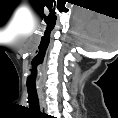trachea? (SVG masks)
<instances>
[{
	"mask_svg": "<svg viewBox=\"0 0 118 118\" xmlns=\"http://www.w3.org/2000/svg\"><path fill=\"white\" fill-rule=\"evenodd\" d=\"M27 92H28V103H29V106L40 111L39 99H38V95H37L36 89L28 88Z\"/></svg>",
	"mask_w": 118,
	"mask_h": 118,
	"instance_id": "obj_1",
	"label": "trachea"
}]
</instances>
